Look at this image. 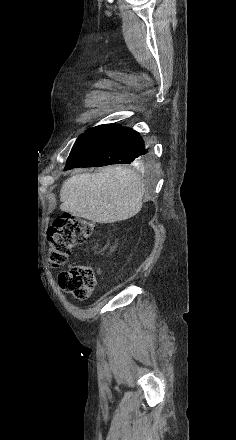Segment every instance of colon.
Wrapping results in <instances>:
<instances>
[{"label":"colon","mask_w":236,"mask_h":440,"mask_svg":"<svg viewBox=\"0 0 236 440\" xmlns=\"http://www.w3.org/2000/svg\"><path fill=\"white\" fill-rule=\"evenodd\" d=\"M94 231L95 225L91 221L77 216L64 214L55 219L49 229L50 266L65 265L74 247L85 243ZM58 282L62 290L79 300L87 299L96 285L91 266L80 263L71 264L62 271L58 276Z\"/></svg>","instance_id":"obj_1"}]
</instances>
